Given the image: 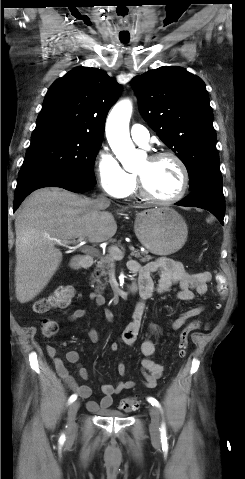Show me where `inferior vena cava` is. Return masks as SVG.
<instances>
[{"label":"inferior vena cava","mask_w":245,"mask_h":479,"mask_svg":"<svg viewBox=\"0 0 245 479\" xmlns=\"http://www.w3.org/2000/svg\"><path fill=\"white\" fill-rule=\"evenodd\" d=\"M98 200H99V201H104V202H107V201H108L107 198H105L104 195H100V196L98 197Z\"/></svg>","instance_id":"obj_1"}]
</instances>
